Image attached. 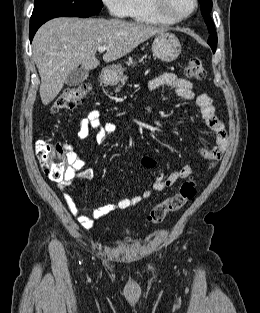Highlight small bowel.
<instances>
[{
	"mask_svg": "<svg viewBox=\"0 0 260 313\" xmlns=\"http://www.w3.org/2000/svg\"><path fill=\"white\" fill-rule=\"evenodd\" d=\"M161 87L173 88L179 98L184 100H193L199 106L202 116L211 129L214 138V145L211 149H207L205 147L200 149V155L207 163L204 172L211 169L221 160L227 148L226 129L224 123L216 114L213 99L206 93L196 95L190 81L173 73L160 74L149 82V89L151 91H155ZM90 129L95 131L96 140L98 142H104L108 135L115 132L116 125L113 122H101L100 112L98 110H91L80 121L78 138L80 140L87 139L90 134ZM69 159L71 162L70 167L68 168L63 179L58 182V188L64 195V199L70 213L86 229L93 228L96 218L103 217L116 209H128L133 207L139 204L143 199L150 198L153 192L164 191L178 180L198 174L194 172L191 165H184L173 171L168 176L164 173H158L155 177L152 189L145 190L141 195L120 199L114 203L102 205L95 208L91 215H87L77 206L73 197L68 192L67 187L77 179L89 180L92 177V171L89 169L81 171L83 163L76 156V154L71 153ZM141 163L146 168H154L156 165V161L148 155L142 156Z\"/></svg>",
	"mask_w": 260,
	"mask_h": 313,
	"instance_id": "c3829d8e",
	"label": "small bowel"
}]
</instances>
